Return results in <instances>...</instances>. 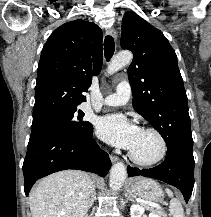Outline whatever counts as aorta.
I'll use <instances>...</instances> for the list:
<instances>
[{
    "instance_id": "762f6f07",
    "label": "aorta",
    "mask_w": 211,
    "mask_h": 217,
    "mask_svg": "<svg viewBox=\"0 0 211 217\" xmlns=\"http://www.w3.org/2000/svg\"><path fill=\"white\" fill-rule=\"evenodd\" d=\"M133 55L129 51L119 52L110 62L107 68L108 75L119 71L125 65L130 64ZM126 168L123 163L118 162L114 164L110 171V187L114 191L120 190L126 179Z\"/></svg>"
}]
</instances>
